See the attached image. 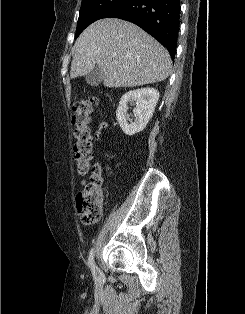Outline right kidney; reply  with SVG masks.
I'll use <instances>...</instances> for the list:
<instances>
[{
  "label": "right kidney",
  "instance_id": "1",
  "mask_svg": "<svg viewBox=\"0 0 245 314\" xmlns=\"http://www.w3.org/2000/svg\"><path fill=\"white\" fill-rule=\"evenodd\" d=\"M159 99V92L154 88H141L125 93L116 111L117 121L122 131L132 136L141 132L151 119ZM128 102L135 104L133 110L135 120L128 123Z\"/></svg>",
  "mask_w": 245,
  "mask_h": 314
}]
</instances>
